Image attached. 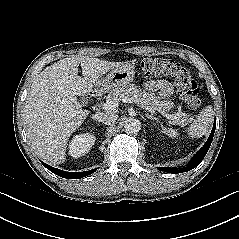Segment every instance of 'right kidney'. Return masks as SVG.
<instances>
[{"mask_svg":"<svg viewBox=\"0 0 239 239\" xmlns=\"http://www.w3.org/2000/svg\"><path fill=\"white\" fill-rule=\"evenodd\" d=\"M95 140V136L91 133L76 135L69 144V154L74 158L85 155L91 150Z\"/></svg>","mask_w":239,"mask_h":239,"instance_id":"obj_1","label":"right kidney"}]
</instances>
